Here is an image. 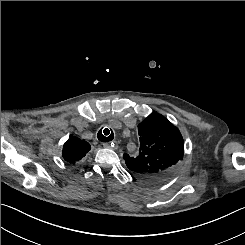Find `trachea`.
I'll use <instances>...</instances> for the list:
<instances>
[{
	"label": "trachea",
	"instance_id": "1",
	"mask_svg": "<svg viewBox=\"0 0 245 245\" xmlns=\"http://www.w3.org/2000/svg\"><path fill=\"white\" fill-rule=\"evenodd\" d=\"M97 137L102 142H109L113 140L114 134L111 129L109 130L108 128H104V129L102 128L99 130Z\"/></svg>",
	"mask_w": 245,
	"mask_h": 245
}]
</instances>
